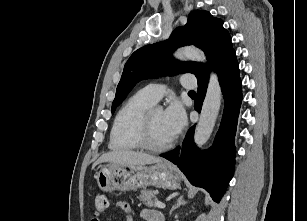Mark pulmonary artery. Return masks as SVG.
<instances>
[{
  "mask_svg": "<svg viewBox=\"0 0 307 221\" xmlns=\"http://www.w3.org/2000/svg\"><path fill=\"white\" fill-rule=\"evenodd\" d=\"M181 85L184 88L191 89L196 87L194 76L191 74H185L181 78ZM141 92L152 102H158L163 95L167 92V87L163 84H148L141 89Z\"/></svg>",
  "mask_w": 307,
  "mask_h": 221,
  "instance_id": "obj_1",
  "label": "pulmonary artery"
}]
</instances>
